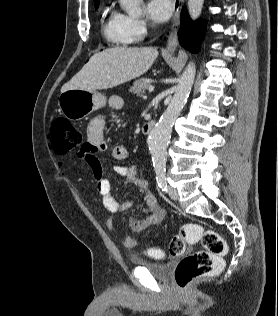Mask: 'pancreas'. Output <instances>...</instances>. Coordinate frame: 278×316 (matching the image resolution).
Instances as JSON below:
<instances>
[{"instance_id": "obj_1", "label": "pancreas", "mask_w": 278, "mask_h": 316, "mask_svg": "<svg viewBox=\"0 0 278 316\" xmlns=\"http://www.w3.org/2000/svg\"><path fill=\"white\" fill-rule=\"evenodd\" d=\"M151 85V80L148 78H141L136 80L133 83V86L129 89V91L136 96H140L145 93V91L149 88Z\"/></svg>"}]
</instances>
